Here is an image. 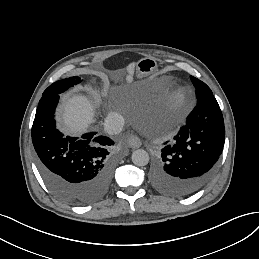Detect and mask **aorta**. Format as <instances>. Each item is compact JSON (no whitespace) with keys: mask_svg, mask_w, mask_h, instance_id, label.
I'll return each instance as SVG.
<instances>
[{"mask_svg":"<svg viewBox=\"0 0 259 259\" xmlns=\"http://www.w3.org/2000/svg\"><path fill=\"white\" fill-rule=\"evenodd\" d=\"M131 158H132V162L136 166H145L149 162V154H148L147 151H145L143 149L135 150L132 153V157Z\"/></svg>","mask_w":259,"mask_h":259,"instance_id":"762f6f07","label":"aorta"}]
</instances>
